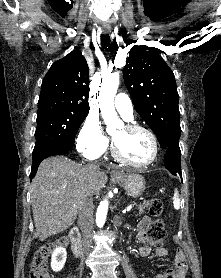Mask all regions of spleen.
<instances>
[{
    "mask_svg": "<svg viewBox=\"0 0 221 278\" xmlns=\"http://www.w3.org/2000/svg\"><path fill=\"white\" fill-rule=\"evenodd\" d=\"M173 206L176 210H178L180 208V198H179V193L178 191L174 192V196H173Z\"/></svg>",
    "mask_w": 221,
    "mask_h": 278,
    "instance_id": "spleen-1",
    "label": "spleen"
}]
</instances>
